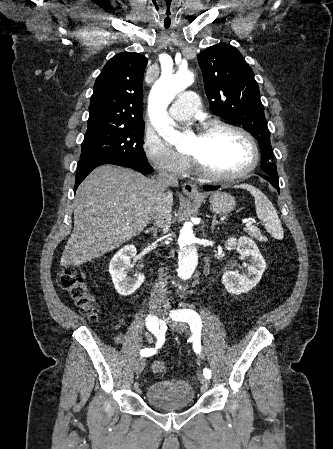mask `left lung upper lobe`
I'll return each mask as SVG.
<instances>
[{
  "mask_svg": "<svg viewBox=\"0 0 333 449\" xmlns=\"http://www.w3.org/2000/svg\"><path fill=\"white\" fill-rule=\"evenodd\" d=\"M204 86L212 112L242 125L259 142L261 169L278 178L270 131L251 67L233 46L217 44L198 54Z\"/></svg>",
  "mask_w": 333,
  "mask_h": 449,
  "instance_id": "obj_1",
  "label": "left lung upper lobe"
}]
</instances>
